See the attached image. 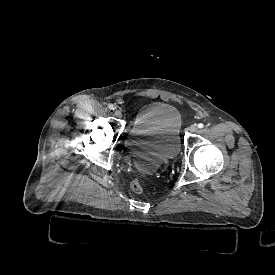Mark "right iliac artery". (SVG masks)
<instances>
[{
    "label": "right iliac artery",
    "instance_id": "right-iliac-artery-1",
    "mask_svg": "<svg viewBox=\"0 0 275 275\" xmlns=\"http://www.w3.org/2000/svg\"><path fill=\"white\" fill-rule=\"evenodd\" d=\"M108 107H109V109H111V110H114V109H115L114 105H112V104H109Z\"/></svg>",
    "mask_w": 275,
    "mask_h": 275
}]
</instances>
